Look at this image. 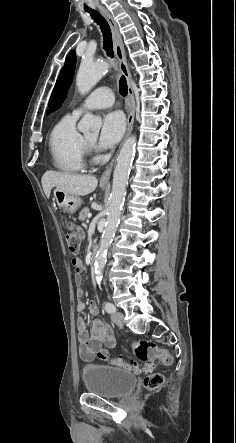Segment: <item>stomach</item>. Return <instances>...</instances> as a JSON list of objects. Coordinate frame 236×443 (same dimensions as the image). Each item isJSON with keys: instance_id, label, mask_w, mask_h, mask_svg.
I'll return each mask as SVG.
<instances>
[{"instance_id": "0dacf381", "label": "stomach", "mask_w": 236, "mask_h": 443, "mask_svg": "<svg viewBox=\"0 0 236 443\" xmlns=\"http://www.w3.org/2000/svg\"><path fill=\"white\" fill-rule=\"evenodd\" d=\"M54 200L58 207L68 214L75 213L82 204L79 196L69 194L56 188L53 192Z\"/></svg>"}]
</instances>
